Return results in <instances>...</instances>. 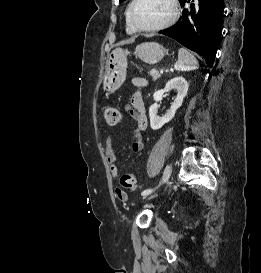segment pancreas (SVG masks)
I'll return each mask as SVG.
<instances>
[{
	"label": "pancreas",
	"instance_id": "1",
	"mask_svg": "<svg viewBox=\"0 0 261 273\" xmlns=\"http://www.w3.org/2000/svg\"><path fill=\"white\" fill-rule=\"evenodd\" d=\"M149 75L152 76V78H153L154 81H156L157 79H159L161 77V74L156 69H151L149 71Z\"/></svg>",
	"mask_w": 261,
	"mask_h": 273
}]
</instances>
